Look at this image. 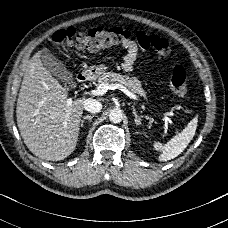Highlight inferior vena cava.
Returning <instances> with one entry per match:
<instances>
[{
  "mask_svg": "<svg viewBox=\"0 0 228 228\" xmlns=\"http://www.w3.org/2000/svg\"><path fill=\"white\" fill-rule=\"evenodd\" d=\"M84 109L90 113H98L102 109V104L98 100L88 98L84 101Z\"/></svg>",
  "mask_w": 228,
  "mask_h": 228,
  "instance_id": "1",
  "label": "inferior vena cava"
}]
</instances>
